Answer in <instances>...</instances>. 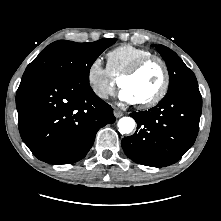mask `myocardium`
Here are the masks:
<instances>
[{"instance_id": "f54148a6", "label": "myocardium", "mask_w": 221, "mask_h": 221, "mask_svg": "<svg viewBox=\"0 0 221 221\" xmlns=\"http://www.w3.org/2000/svg\"><path fill=\"white\" fill-rule=\"evenodd\" d=\"M151 61H157L163 69V82L159 90L150 99L138 102L137 105L140 108H151L159 104L166 96L169 86H170V71L167 62L158 55L150 54L144 56L133 63L126 71H124L119 77V85L121 86V81L126 78H130L136 75L144 66H146Z\"/></svg>"}]
</instances>
